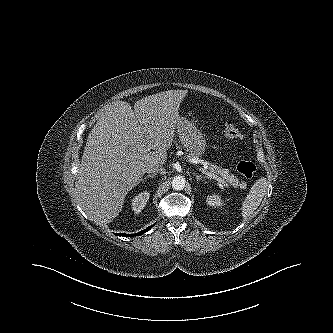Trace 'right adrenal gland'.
Listing matches in <instances>:
<instances>
[{
    "label": "right adrenal gland",
    "instance_id": "right-adrenal-gland-1",
    "mask_svg": "<svg viewBox=\"0 0 333 333\" xmlns=\"http://www.w3.org/2000/svg\"><path fill=\"white\" fill-rule=\"evenodd\" d=\"M154 176H155L154 174H152V175H147L144 179H142V182L145 183V181H146L148 178H152V179H153Z\"/></svg>",
    "mask_w": 333,
    "mask_h": 333
}]
</instances>
